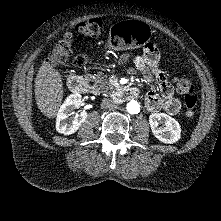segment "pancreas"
I'll use <instances>...</instances> for the list:
<instances>
[{"label": "pancreas", "mask_w": 221, "mask_h": 221, "mask_svg": "<svg viewBox=\"0 0 221 221\" xmlns=\"http://www.w3.org/2000/svg\"><path fill=\"white\" fill-rule=\"evenodd\" d=\"M89 79L94 82V87L97 93L105 92L110 87H113V85L108 82L107 77L102 73L89 75Z\"/></svg>", "instance_id": "obj_1"}]
</instances>
